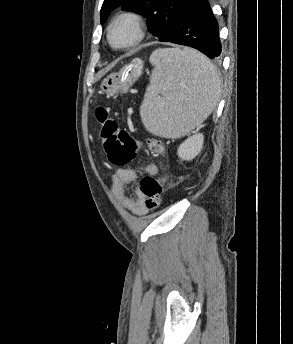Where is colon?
Returning <instances> with one entry per match:
<instances>
[{"label": "colon", "instance_id": "obj_1", "mask_svg": "<svg viewBox=\"0 0 293 344\" xmlns=\"http://www.w3.org/2000/svg\"><path fill=\"white\" fill-rule=\"evenodd\" d=\"M95 116L100 125V137L108 161L116 167H124L135 158L138 141L126 130L119 129L117 121L105 107H97ZM146 150L157 157L165 152L163 142L157 138L146 141ZM166 177L146 175L140 183V190L145 197L144 206L147 211L157 209L161 204L163 184Z\"/></svg>", "mask_w": 293, "mask_h": 344}]
</instances>
